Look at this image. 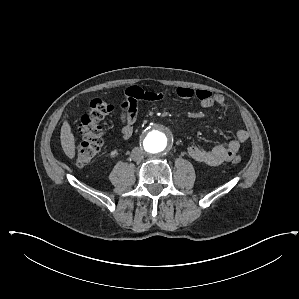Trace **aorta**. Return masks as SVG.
Masks as SVG:
<instances>
[{
	"label": "aorta",
	"mask_w": 299,
	"mask_h": 299,
	"mask_svg": "<svg viewBox=\"0 0 299 299\" xmlns=\"http://www.w3.org/2000/svg\"><path fill=\"white\" fill-rule=\"evenodd\" d=\"M169 140L160 129H152L143 140L145 151L152 155H160L168 148Z\"/></svg>",
	"instance_id": "1"
}]
</instances>
